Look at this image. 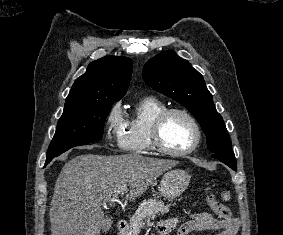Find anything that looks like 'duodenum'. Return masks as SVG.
<instances>
[{
  "label": "duodenum",
  "mask_w": 283,
  "mask_h": 235,
  "mask_svg": "<svg viewBox=\"0 0 283 235\" xmlns=\"http://www.w3.org/2000/svg\"><path fill=\"white\" fill-rule=\"evenodd\" d=\"M127 226V222L125 220H118L116 222V228L118 231H123Z\"/></svg>",
  "instance_id": "1"
}]
</instances>
